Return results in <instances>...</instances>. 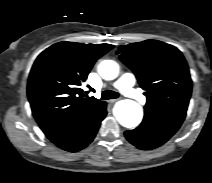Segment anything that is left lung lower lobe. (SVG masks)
I'll list each match as a JSON object with an SVG mask.
<instances>
[{
  "instance_id": "0a47b994",
  "label": "left lung lower lobe",
  "mask_w": 212,
  "mask_h": 183,
  "mask_svg": "<svg viewBox=\"0 0 212 183\" xmlns=\"http://www.w3.org/2000/svg\"><path fill=\"white\" fill-rule=\"evenodd\" d=\"M183 121L145 111L143 122L134 130L125 132L134 146L150 150L164 144L179 129Z\"/></svg>"
}]
</instances>
